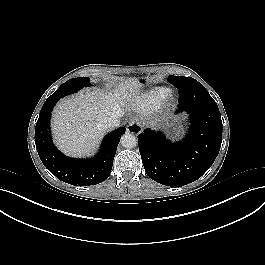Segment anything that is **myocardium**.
Wrapping results in <instances>:
<instances>
[{
    "instance_id": "1",
    "label": "myocardium",
    "mask_w": 265,
    "mask_h": 265,
    "mask_svg": "<svg viewBox=\"0 0 265 265\" xmlns=\"http://www.w3.org/2000/svg\"><path fill=\"white\" fill-rule=\"evenodd\" d=\"M174 101V95L173 94H169L159 105H158V109L160 111H162L163 108L168 107L172 102Z\"/></svg>"
}]
</instances>
